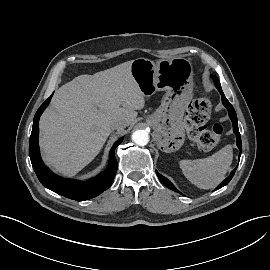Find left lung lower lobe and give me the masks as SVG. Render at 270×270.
I'll return each mask as SVG.
<instances>
[{
  "label": "left lung lower lobe",
  "mask_w": 270,
  "mask_h": 270,
  "mask_svg": "<svg viewBox=\"0 0 270 270\" xmlns=\"http://www.w3.org/2000/svg\"><path fill=\"white\" fill-rule=\"evenodd\" d=\"M221 96H222V102L224 104V106L227 108L228 110V113H229V117L230 119L232 120V124H233V131L234 133L236 134L237 136V146L238 148L241 150L242 148V144H241V137H240V133H239V129H238V123H237V116H236V112L233 108V106L231 105V103L226 99L224 93L222 90L219 91ZM241 155V153H240ZM240 155H239V159H240ZM236 171V168L231 172V174L229 175V177H227L217 188H222L223 186L227 185L230 180L232 179L234 173ZM157 176L159 177V179L161 180V182L166 185L169 189L171 190H174L178 193H180L174 186L173 184L168 180L166 179L164 176H162L161 174H159L158 172H156Z\"/></svg>",
  "instance_id": "0a47b994"
}]
</instances>
